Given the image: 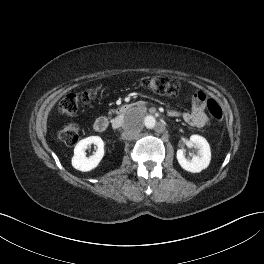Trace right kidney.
<instances>
[{
	"label": "right kidney",
	"mask_w": 264,
	"mask_h": 264,
	"mask_svg": "<svg viewBox=\"0 0 264 264\" xmlns=\"http://www.w3.org/2000/svg\"><path fill=\"white\" fill-rule=\"evenodd\" d=\"M94 144L97 146L96 151L90 157L86 156V149ZM104 156V142L99 136H90L82 139L74 148L72 157V166L82 172L91 171L96 168Z\"/></svg>",
	"instance_id": "obj_1"
}]
</instances>
